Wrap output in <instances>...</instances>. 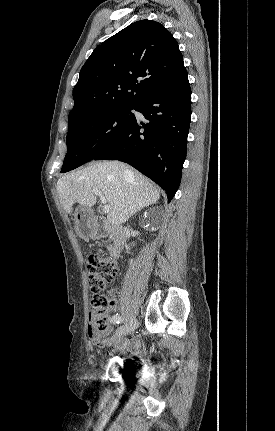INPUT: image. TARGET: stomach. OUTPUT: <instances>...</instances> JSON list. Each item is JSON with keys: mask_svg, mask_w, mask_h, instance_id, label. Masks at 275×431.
<instances>
[{"mask_svg": "<svg viewBox=\"0 0 275 431\" xmlns=\"http://www.w3.org/2000/svg\"><path fill=\"white\" fill-rule=\"evenodd\" d=\"M76 234L84 239L94 236L95 228L92 223V213L88 208L80 207L74 214Z\"/></svg>", "mask_w": 275, "mask_h": 431, "instance_id": "1", "label": "stomach"}]
</instances>
